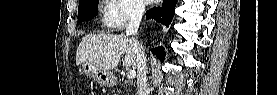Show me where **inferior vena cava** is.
Returning a JSON list of instances; mask_svg holds the SVG:
<instances>
[{
    "instance_id": "602c4592",
    "label": "inferior vena cava",
    "mask_w": 277,
    "mask_h": 95,
    "mask_svg": "<svg viewBox=\"0 0 277 95\" xmlns=\"http://www.w3.org/2000/svg\"><path fill=\"white\" fill-rule=\"evenodd\" d=\"M145 12V6L143 4H135L131 10L128 26L126 29L127 36L133 42L134 49L137 54V87L138 95H149L147 88V65L145 51L142 45L136 38L138 28Z\"/></svg>"
}]
</instances>
